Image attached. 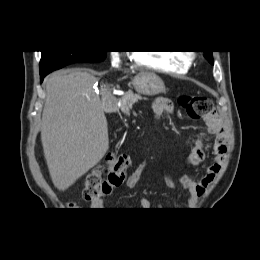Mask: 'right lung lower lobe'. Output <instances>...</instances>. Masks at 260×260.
Listing matches in <instances>:
<instances>
[{"mask_svg": "<svg viewBox=\"0 0 260 260\" xmlns=\"http://www.w3.org/2000/svg\"><path fill=\"white\" fill-rule=\"evenodd\" d=\"M45 76H46V75H41V82L43 81V79H44Z\"/></svg>", "mask_w": 260, "mask_h": 260, "instance_id": "right-lung-lower-lobe-1", "label": "right lung lower lobe"}]
</instances>
